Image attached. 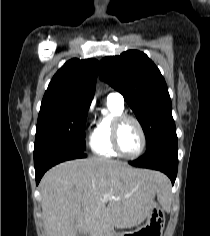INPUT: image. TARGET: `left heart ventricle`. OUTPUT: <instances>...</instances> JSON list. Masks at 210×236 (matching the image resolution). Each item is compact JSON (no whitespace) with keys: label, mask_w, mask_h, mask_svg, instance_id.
<instances>
[{"label":"left heart ventricle","mask_w":210,"mask_h":236,"mask_svg":"<svg viewBox=\"0 0 210 236\" xmlns=\"http://www.w3.org/2000/svg\"><path fill=\"white\" fill-rule=\"evenodd\" d=\"M120 147L126 155H133L138 152L141 146V135L137 125L131 121H125L120 129Z\"/></svg>","instance_id":"1"}]
</instances>
